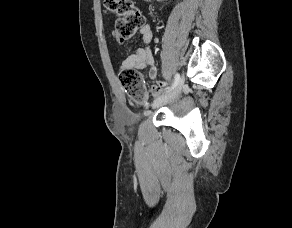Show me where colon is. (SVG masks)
Wrapping results in <instances>:
<instances>
[{"instance_id": "obj_1", "label": "colon", "mask_w": 292, "mask_h": 228, "mask_svg": "<svg viewBox=\"0 0 292 228\" xmlns=\"http://www.w3.org/2000/svg\"><path fill=\"white\" fill-rule=\"evenodd\" d=\"M103 3L108 11L119 16L113 31L118 42H126L144 26L143 14L130 0H103ZM118 77L125 93L131 100L136 103H144L147 100V92L139 70L126 68L120 71Z\"/></svg>"}]
</instances>
